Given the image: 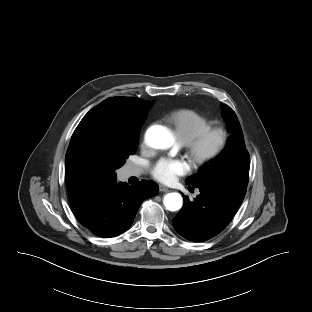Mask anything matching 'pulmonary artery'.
<instances>
[{
    "instance_id": "1",
    "label": "pulmonary artery",
    "mask_w": 312,
    "mask_h": 312,
    "mask_svg": "<svg viewBox=\"0 0 312 312\" xmlns=\"http://www.w3.org/2000/svg\"><path fill=\"white\" fill-rule=\"evenodd\" d=\"M142 172V170L139 167L131 166L127 170L128 176H136L139 175Z\"/></svg>"
}]
</instances>
